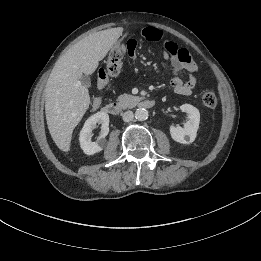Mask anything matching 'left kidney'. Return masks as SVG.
I'll return each instance as SVG.
<instances>
[{
    "label": "left kidney",
    "mask_w": 261,
    "mask_h": 261,
    "mask_svg": "<svg viewBox=\"0 0 261 261\" xmlns=\"http://www.w3.org/2000/svg\"><path fill=\"white\" fill-rule=\"evenodd\" d=\"M180 109L189 115V120L184 124V128L180 126H171L170 134L172 139L176 142L190 144L195 140L197 135L200 122V112L196 107L190 104H183L180 106Z\"/></svg>",
    "instance_id": "1"
}]
</instances>
